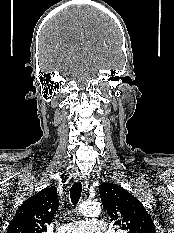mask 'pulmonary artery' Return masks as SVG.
Segmentation results:
<instances>
[{
  "label": "pulmonary artery",
  "mask_w": 174,
  "mask_h": 233,
  "mask_svg": "<svg viewBox=\"0 0 174 233\" xmlns=\"http://www.w3.org/2000/svg\"><path fill=\"white\" fill-rule=\"evenodd\" d=\"M56 233H107V226L101 219L75 221L60 226Z\"/></svg>",
  "instance_id": "obj_1"
}]
</instances>
